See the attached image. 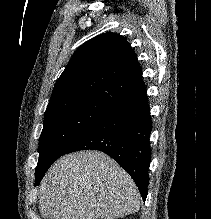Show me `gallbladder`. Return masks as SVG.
<instances>
[{
  "instance_id": "bac80fb5",
  "label": "gallbladder",
  "mask_w": 211,
  "mask_h": 219,
  "mask_svg": "<svg viewBox=\"0 0 211 219\" xmlns=\"http://www.w3.org/2000/svg\"><path fill=\"white\" fill-rule=\"evenodd\" d=\"M47 219H53V218L51 217V214L48 215Z\"/></svg>"
}]
</instances>
